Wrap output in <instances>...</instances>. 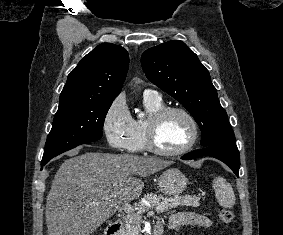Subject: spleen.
Masks as SVG:
<instances>
[{"instance_id":"1","label":"spleen","mask_w":283,"mask_h":235,"mask_svg":"<svg viewBox=\"0 0 283 235\" xmlns=\"http://www.w3.org/2000/svg\"><path fill=\"white\" fill-rule=\"evenodd\" d=\"M213 189L216 199L220 206L224 208H233L235 205V194L230 183L223 177H216L213 180Z\"/></svg>"}]
</instances>
